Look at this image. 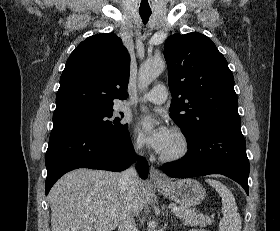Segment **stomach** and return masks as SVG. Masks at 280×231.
Here are the masks:
<instances>
[{
    "mask_svg": "<svg viewBox=\"0 0 280 231\" xmlns=\"http://www.w3.org/2000/svg\"><path fill=\"white\" fill-rule=\"evenodd\" d=\"M155 187H157L159 193L169 197L172 201H176V203L185 205V207L198 205L205 197V189L196 179H176V181L168 179L166 187L157 185V183H155Z\"/></svg>",
    "mask_w": 280,
    "mask_h": 231,
    "instance_id": "0dacf381",
    "label": "stomach"
}]
</instances>
